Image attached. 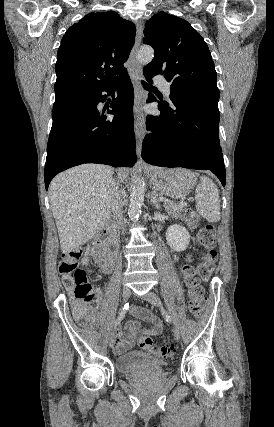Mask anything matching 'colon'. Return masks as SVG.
Listing matches in <instances>:
<instances>
[{"label": "colon", "mask_w": 274, "mask_h": 427, "mask_svg": "<svg viewBox=\"0 0 274 427\" xmlns=\"http://www.w3.org/2000/svg\"><path fill=\"white\" fill-rule=\"evenodd\" d=\"M184 218L194 225L199 221V216L191 211H183ZM198 241L202 248H216L215 240V226L212 223H205L199 233ZM79 245L81 247H88L90 245V238L88 236H81L79 238ZM82 258L80 250H73L67 253L60 263V273L64 276L67 288L72 293L73 297L81 302H91L96 297V289L89 283L85 269L80 266L79 261ZM183 276L188 288V310L197 314L206 301L207 296L204 293L201 280H197V270H194L193 264H186L183 266ZM139 345L145 351L154 354L158 358H169L175 353L174 345H159L152 341L149 337H140Z\"/></svg>", "instance_id": "5ec220e1"}]
</instances>
